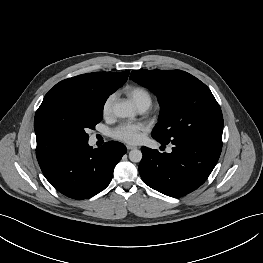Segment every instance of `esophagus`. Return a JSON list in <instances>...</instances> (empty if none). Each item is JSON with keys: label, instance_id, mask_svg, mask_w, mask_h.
Listing matches in <instances>:
<instances>
[{"label": "esophagus", "instance_id": "1", "mask_svg": "<svg viewBox=\"0 0 263 263\" xmlns=\"http://www.w3.org/2000/svg\"><path fill=\"white\" fill-rule=\"evenodd\" d=\"M128 150L136 149L137 147L134 145H126Z\"/></svg>", "mask_w": 263, "mask_h": 263}]
</instances>
